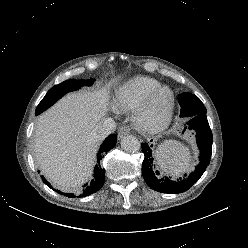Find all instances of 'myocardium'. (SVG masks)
Wrapping results in <instances>:
<instances>
[{
    "label": "myocardium",
    "instance_id": "obj_1",
    "mask_svg": "<svg viewBox=\"0 0 248 248\" xmlns=\"http://www.w3.org/2000/svg\"><path fill=\"white\" fill-rule=\"evenodd\" d=\"M163 92L169 94V103L165 112L159 119H150L148 117L149 110L153 105L155 99ZM176 98L174 91L168 86H161L150 93L134 110V120L136 125L150 133L159 132L165 129L171 122L173 112L175 109Z\"/></svg>",
    "mask_w": 248,
    "mask_h": 248
}]
</instances>
